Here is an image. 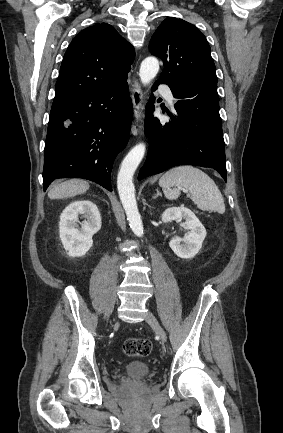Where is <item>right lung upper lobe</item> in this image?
Returning <instances> with one entry per match:
<instances>
[{
	"mask_svg": "<svg viewBox=\"0 0 283 433\" xmlns=\"http://www.w3.org/2000/svg\"><path fill=\"white\" fill-rule=\"evenodd\" d=\"M134 57L133 46L113 26L98 23L82 30L64 55L54 102L117 87Z\"/></svg>",
	"mask_w": 283,
	"mask_h": 433,
	"instance_id": "obj_1",
	"label": "right lung upper lobe"
}]
</instances>
